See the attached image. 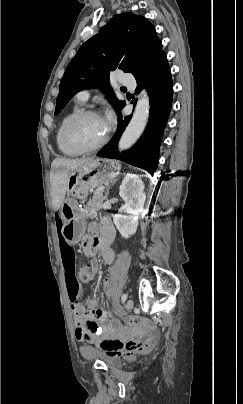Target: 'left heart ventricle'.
<instances>
[{"instance_id": "obj_1", "label": "left heart ventricle", "mask_w": 243, "mask_h": 404, "mask_svg": "<svg viewBox=\"0 0 243 404\" xmlns=\"http://www.w3.org/2000/svg\"><path fill=\"white\" fill-rule=\"evenodd\" d=\"M70 135L83 145L93 146L104 138L105 133L100 117L87 116L71 127Z\"/></svg>"}]
</instances>
